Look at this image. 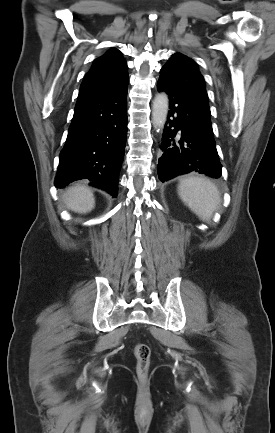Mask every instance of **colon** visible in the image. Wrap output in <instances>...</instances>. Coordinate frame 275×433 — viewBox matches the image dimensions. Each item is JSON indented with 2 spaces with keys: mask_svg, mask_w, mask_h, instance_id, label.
Here are the masks:
<instances>
[{
  "mask_svg": "<svg viewBox=\"0 0 275 433\" xmlns=\"http://www.w3.org/2000/svg\"><path fill=\"white\" fill-rule=\"evenodd\" d=\"M133 354L136 359V375L139 379L144 380L148 376L150 367L151 351L148 345L139 343L133 347Z\"/></svg>",
  "mask_w": 275,
  "mask_h": 433,
  "instance_id": "obj_1",
  "label": "colon"
}]
</instances>
